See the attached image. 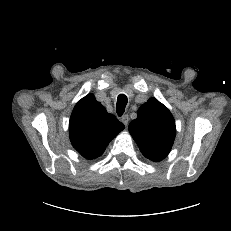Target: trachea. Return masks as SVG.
<instances>
[{
	"label": "trachea",
	"mask_w": 231,
	"mask_h": 231,
	"mask_svg": "<svg viewBox=\"0 0 231 231\" xmlns=\"http://www.w3.org/2000/svg\"><path fill=\"white\" fill-rule=\"evenodd\" d=\"M127 96L124 94H120L117 98V105H116V111L118 116H122V114L125 111V107L127 105Z\"/></svg>",
	"instance_id": "1"
}]
</instances>
